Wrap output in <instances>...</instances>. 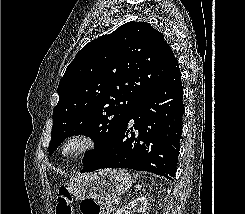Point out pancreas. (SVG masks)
<instances>
[{"mask_svg": "<svg viewBox=\"0 0 245 214\" xmlns=\"http://www.w3.org/2000/svg\"><path fill=\"white\" fill-rule=\"evenodd\" d=\"M109 203H110V202H105L104 204H105V205H108Z\"/></svg>", "mask_w": 245, "mask_h": 214, "instance_id": "obj_1", "label": "pancreas"}]
</instances>
